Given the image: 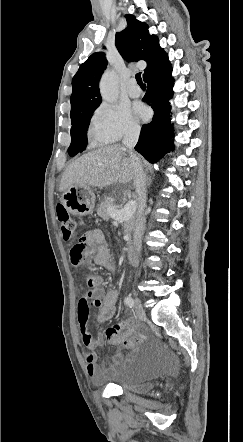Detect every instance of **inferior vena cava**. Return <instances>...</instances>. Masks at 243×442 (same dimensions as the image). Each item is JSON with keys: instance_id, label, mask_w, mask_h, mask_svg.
I'll return each instance as SVG.
<instances>
[{"instance_id": "obj_1", "label": "inferior vena cava", "mask_w": 243, "mask_h": 442, "mask_svg": "<svg viewBox=\"0 0 243 442\" xmlns=\"http://www.w3.org/2000/svg\"><path fill=\"white\" fill-rule=\"evenodd\" d=\"M140 134V127L131 125L123 138V145L128 151L132 163H133V181L138 195V212L134 219V235H133V247L136 252L141 249L142 236L145 230L146 219L144 216V208L146 206V178L143 171L142 163L134 152V147L138 141ZM128 203L127 205H129ZM135 209L136 203L134 202Z\"/></svg>"}]
</instances>
